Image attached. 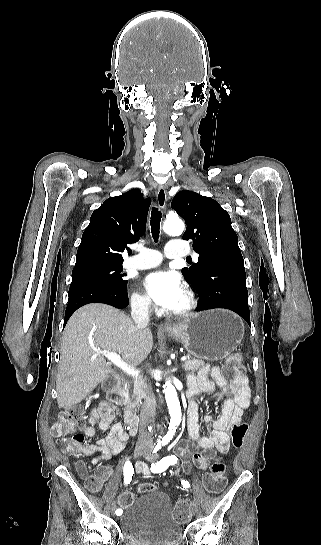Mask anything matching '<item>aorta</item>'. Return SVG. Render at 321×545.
I'll use <instances>...</instances> for the list:
<instances>
[{
    "label": "aorta",
    "mask_w": 321,
    "mask_h": 545,
    "mask_svg": "<svg viewBox=\"0 0 321 545\" xmlns=\"http://www.w3.org/2000/svg\"><path fill=\"white\" fill-rule=\"evenodd\" d=\"M184 228H185V225L183 221L178 218L167 219L163 225L164 232L173 236L181 235ZM164 392H165V399H166V403H167L169 414H170V423L168 428L169 430H168V433L165 435V437L162 439V443L166 444L174 436L177 426L181 422L182 413H181V407L178 400L176 389L170 381L165 382Z\"/></svg>",
    "instance_id": "762f6f07"
}]
</instances>
